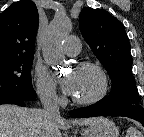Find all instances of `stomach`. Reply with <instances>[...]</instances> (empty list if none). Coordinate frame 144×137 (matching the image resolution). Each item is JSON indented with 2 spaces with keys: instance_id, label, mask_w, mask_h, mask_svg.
I'll use <instances>...</instances> for the list:
<instances>
[{
  "instance_id": "1",
  "label": "stomach",
  "mask_w": 144,
  "mask_h": 137,
  "mask_svg": "<svg viewBox=\"0 0 144 137\" xmlns=\"http://www.w3.org/2000/svg\"><path fill=\"white\" fill-rule=\"evenodd\" d=\"M81 134L82 137H119V130L112 121L99 118L98 121L82 129Z\"/></svg>"
}]
</instances>
